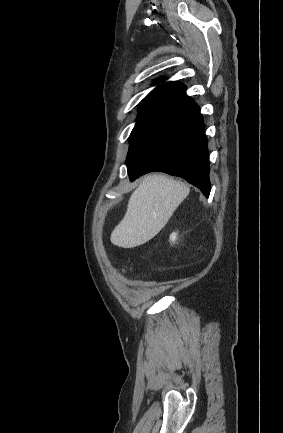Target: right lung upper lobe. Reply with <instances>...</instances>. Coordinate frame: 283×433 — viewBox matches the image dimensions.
<instances>
[{
	"mask_svg": "<svg viewBox=\"0 0 283 433\" xmlns=\"http://www.w3.org/2000/svg\"><path fill=\"white\" fill-rule=\"evenodd\" d=\"M190 99L185 93V86L176 82H167L152 90L140 103L139 111L163 114L166 111Z\"/></svg>",
	"mask_w": 283,
	"mask_h": 433,
	"instance_id": "obj_1",
	"label": "right lung upper lobe"
}]
</instances>
